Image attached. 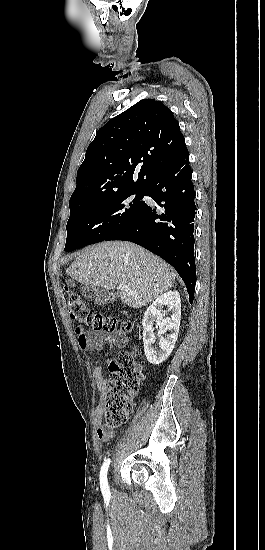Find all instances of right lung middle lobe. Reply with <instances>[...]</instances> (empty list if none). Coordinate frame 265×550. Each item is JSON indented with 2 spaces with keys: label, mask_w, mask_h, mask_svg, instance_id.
Instances as JSON below:
<instances>
[{
  "label": "right lung middle lobe",
  "mask_w": 265,
  "mask_h": 550,
  "mask_svg": "<svg viewBox=\"0 0 265 550\" xmlns=\"http://www.w3.org/2000/svg\"><path fill=\"white\" fill-rule=\"evenodd\" d=\"M147 189H132L90 200H70L65 251L103 241L146 207Z\"/></svg>",
  "instance_id": "right-lung-middle-lobe-1"
}]
</instances>
